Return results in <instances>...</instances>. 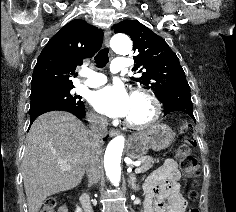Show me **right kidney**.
Wrapping results in <instances>:
<instances>
[{
  "label": "right kidney",
  "instance_id": "obj_1",
  "mask_svg": "<svg viewBox=\"0 0 236 212\" xmlns=\"http://www.w3.org/2000/svg\"><path fill=\"white\" fill-rule=\"evenodd\" d=\"M75 212H82V209L80 207H77Z\"/></svg>",
  "mask_w": 236,
  "mask_h": 212
}]
</instances>
